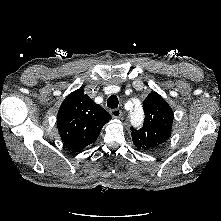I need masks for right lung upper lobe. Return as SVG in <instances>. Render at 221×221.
Returning a JSON list of instances; mask_svg holds the SVG:
<instances>
[{"instance_id":"cb5924a9","label":"right lung upper lobe","mask_w":221,"mask_h":221,"mask_svg":"<svg viewBox=\"0 0 221 221\" xmlns=\"http://www.w3.org/2000/svg\"><path fill=\"white\" fill-rule=\"evenodd\" d=\"M110 119L104 108L85 95L84 90L78 89L61 104L57 127L62 141L75 150L94 143Z\"/></svg>"}]
</instances>
